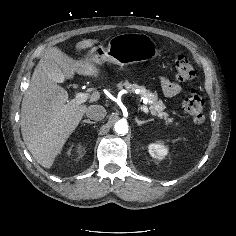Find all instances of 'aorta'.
I'll return each mask as SVG.
<instances>
[{
	"mask_svg": "<svg viewBox=\"0 0 236 236\" xmlns=\"http://www.w3.org/2000/svg\"><path fill=\"white\" fill-rule=\"evenodd\" d=\"M118 134L125 135L128 132V124L126 121L120 120L114 126Z\"/></svg>",
	"mask_w": 236,
	"mask_h": 236,
	"instance_id": "762f6f07",
	"label": "aorta"
}]
</instances>
